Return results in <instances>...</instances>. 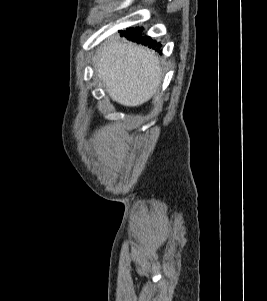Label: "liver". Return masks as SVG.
Returning a JSON list of instances; mask_svg holds the SVG:
<instances>
[{"label":"liver","instance_id":"liver-1","mask_svg":"<svg viewBox=\"0 0 267 301\" xmlns=\"http://www.w3.org/2000/svg\"><path fill=\"white\" fill-rule=\"evenodd\" d=\"M96 74L117 103L135 107L158 91L162 69L154 51L111 38L99 49L94 61Z\"/></svg>","mask_w":267,"mask_h":301}]
</instances>
